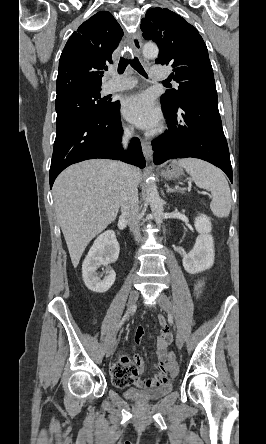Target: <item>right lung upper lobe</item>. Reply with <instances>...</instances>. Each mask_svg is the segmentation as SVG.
I'll use <instances>...</instances> for the list:
<instances>
[{
	"instance_id": "cb5924a9",
	"label": "right lung upper lobe",
	"mask_w": 266,
	"mask_h": 444,
	"mask_svg": "<svg viewBox=\"0 0 266 444\" xmlns=\"http://www.w3.org/2000/svg\"><path fill=\"white\" fill-rule=\"evenodd\" d=\"M123 31L107 11L85 21L68 39L59 60L57 97L75 91L101 89L102 74L112 63Z\"/></svg>"
}]
</instances>
